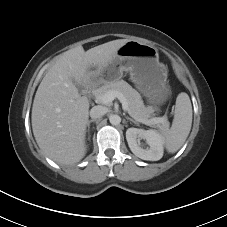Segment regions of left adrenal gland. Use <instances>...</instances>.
Returning <instances> with one entry per match:
<instances>
[{"label": "left adrenal gland", "instance_id": "obj_1", "mask_svg": "<svg viewBox=\"0 0 227 227\" xmlns=\"http://www.w3.org/2000/svg\"><path fill=\"white\" fill-rule=\"evenodd\" d=\"M126 119L129 120V121H131V122H133L134 124H137L138 125V123L135 120H133L132 118L126 116Z\"/></svg>", "mask_w": 227, "mask_h": 227}]
</instances>
